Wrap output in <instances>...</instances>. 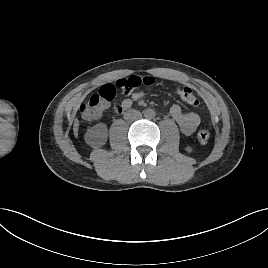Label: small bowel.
<instances>
[{
	"label": "small bowel",
	"instance_id": "1",
	"mask_svg": "<svg viewBox=\"0 0 268 268\" xmlns=\"http://www.w3.org/2000/svg\"><path fill=\"white\" fill-rule=\"evenodd\" d=\"M143 92L137 91L132 93L129 97H126L122 101L123 108H130L133 102L142 99ZM172 118L177 122L181 133L185 136L193 134L201 124V118L197 113H184L182 107L178 104H174L170 109Z\"/></svg>",
	"mask_w": 268,
	"mask_h": 268
}]
</instances>
